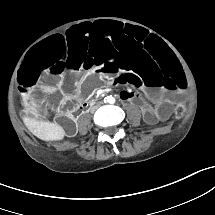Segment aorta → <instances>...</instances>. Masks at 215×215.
<instances>
[{
    "label": "aorta",
    "instance_id": "1",
    "mask_svg": "<svg viewBox=\"0 0 215 215\" xmlns=\"http://www.w3.org/2000/svg\"><path fill=\"white\" fill-rule=\"evenodd\" d=\"M109 103L113 104L115 102V98L114 97H108V100H107Z\"/></svg>",
    "mask_w": 215,
    "mask_h": 215
}]
</instances>
